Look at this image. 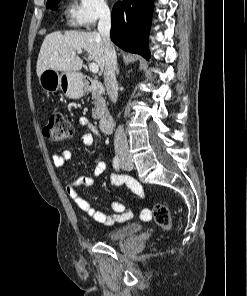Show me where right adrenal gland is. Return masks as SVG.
Returning a JSON list of instances; mask_svg holds the SVG:
<instances>
[{
	"label": "right adrenal gland",
	"mask_w": 247,
	"mask_h": 296,
	"mask_svg": "<svg viewBox=\"0 0 247 296\" xmlns=\"http://www.w3.org/2000/svg\"><path fill=\"white\" fill-rule=\"evenodd\" d=\"M116 72H117V75H118L119 74V68H118V66L116 68Z\"/></svg>",
	"instance_id": "2a0ac1e0"
}]
</instances>
